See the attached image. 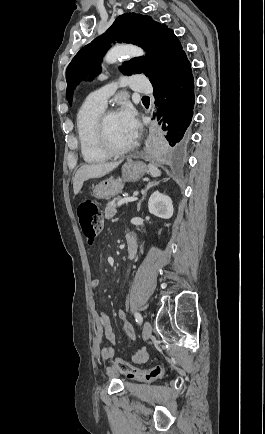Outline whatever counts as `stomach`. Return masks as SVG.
I'll use <instances>...</instances> for the list:
<instances>
[{
	"instance_id": "stomach-1",
	"label": "stomach",
	"mask_w": 265,
	"mask_h": 434,
	"mask_svg": "<svg viewBox=\"0 0 265 434\" xmlns=\"http://www.w3.org/2000/svg\"><path fill=\"white\" fill-rule=\"evenodd\" d=\"M146 172H148L147 166L143 162H126L122 168V178L103 180L93 188V196L98 200H109L121 194L124 182H137L145 176Z\"/></svg>"
}]
</instances>
